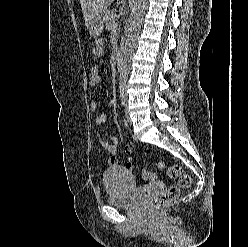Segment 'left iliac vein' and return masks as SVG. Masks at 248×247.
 I'll return each instance as SVG.
<instances>
[{"label": "left iliac vein", "instance_id": "4c4485c4", "mask_svg": "<svg viewBox=\"0 0 248 247\" xmlns=\"http://www.w3.org/2000/svg\"><path fill=\"white\" fill-rule=\"evenodd\" d=\"M125 115H126V119L129 123H131V118L129 117V112H128V109L126 108L125 109Z\"/></svg>", "mask_w": 248, "mask_h": 247}]
</instances>
